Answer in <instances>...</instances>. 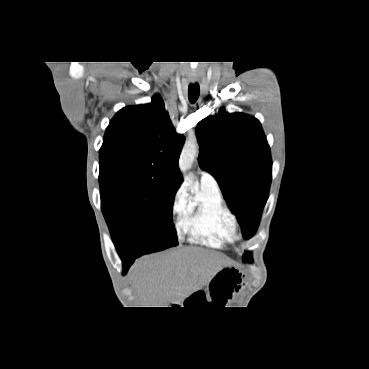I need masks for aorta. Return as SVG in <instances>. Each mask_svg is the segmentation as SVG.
<instances>
[{
  "instance_id": "762f6f07",
  "label": "aorta",
  "mask_w": 369,
  "mask_h": 369,
  "mask_svg": "<svg viewBox=\"0 0 369 369\" xmlns=\"http://www.w3.org/2000/svg\"><path fill=\"white\" fill-rule=\"evenodd\" d=\"M196 155H197V141L195 138H189L184 144L179 159V169L183 174L186 173L191 168Z\"/></svg>"
}]
</instances>
